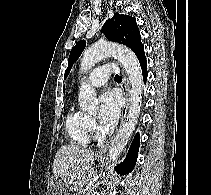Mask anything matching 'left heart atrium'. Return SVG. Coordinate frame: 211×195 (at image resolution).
Returning <instances> with one entry per match:
<instances>
[{
	"label": "left heart atrium",
	"mask_w": 211,
	"mask_h": 195,
	"mask_svg": "<svg viewBox=\"0 0 211 195\" xmlns=\"http://www.w3.org/2000/svg\"><path fill=\"white\" fill-rule=\"evenodd\" d=\"M99 118L105 125H112L116 122L121 107L118 95L112 91H105L100 96Z\"/></svg>",
	"instance_id": "1"
}]
</instances>
